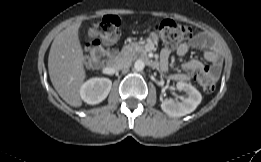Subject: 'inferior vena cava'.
I'll use <instances>...</instances> for the list:
<instances>
[{"mask_svg": "<svg viewBox=\"0 0 261 162\" xmlns=\"http://www.w3.org/2000/svg\"><path fill=\"white\" fill-rule=\"evenodd\" d=\"M131 66V61L128 59H122L119 60L115 65L114 68L116 70H120V69H128Z\"/></svg>", "mask_w": 261, "mask_h": 162, "instance_id": "1", "label": "inferior vena cava"}]
</instances>
